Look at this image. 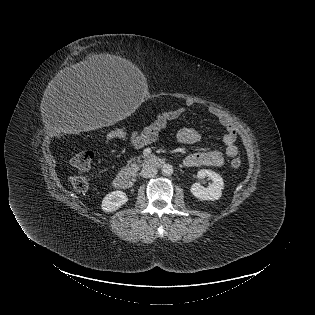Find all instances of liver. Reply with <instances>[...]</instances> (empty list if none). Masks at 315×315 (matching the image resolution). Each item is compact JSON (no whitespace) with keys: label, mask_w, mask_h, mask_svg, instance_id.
Listing matches in <instances>:
<instances>
[{"label":"liver","mask_w":315,"mask_h":315,"mask_svg":"<svg viewBox=\"0 0 315 315\" xmlns=\"http://www.w3.org/2000/svg\"><path fill=\"white\" fill-rule=\"evenodd\" d=\"M140 77V71L129 60L110 54L92 55L65 68L59 75V79L68 84L129 82L139 80Z\"/></svg>","instance_id":"1"}]
</instances>
